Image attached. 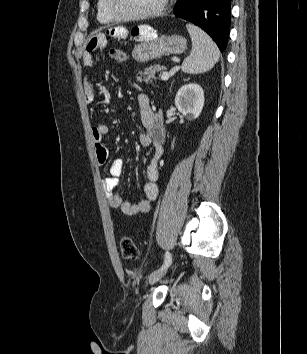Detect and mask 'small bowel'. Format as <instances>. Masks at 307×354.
Wrapping results in <instances>:
<instances>
[{"instance_id":"obj_1","label":"small bowel","mask_w":307,"mask_h":354,"mask_svg":"<svg viewBox=\"0 0 307 354\" xmlns=\"http://www.w3.org/2000/svg\"><path fill=\"white\" fill-rule=\"evenodd\" d=\"M107 36L114 39L133 38V31H126L123 28L116 27L108 31ZM105 41L102 37L92 38L85 49L83 55V64L87 67L95 65L94 52L103 47ZM84 96L87 102H93L95 92L88 76L84 81ZM141 122L144 127L139 135V143L143 147L152 146L155 154L146 167V183L144 184V198L138 202L132 203L123 200L118 191L119 178L122 174L124 161L117 158L112 161L109 168V176L103 179L102 185L110 205L119 208L125 215H137L150 211L152 203L158 196L159 189L157 180L159 177L158 161L162 154V143L164 140V128L158 115L151 108L150 97L146 93L138 96ZM109 127L105 123H99L92 128V138L95 145L96 159L99 164H104L108 158V149L103 143L104 137L108 134Z\"/></svg>"}]
</instances>
